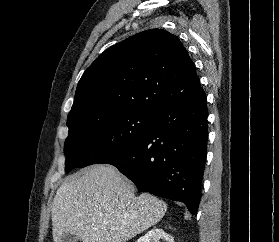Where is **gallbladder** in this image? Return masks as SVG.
I'll use <instances>...</instances> for the list:
<instances>
[{"label":"gallbladder","instance_id":"bac80fb5","mask_svg":"<svg viewBox=\"0 0 279 242\" xmlns=\"http://www.w3.org/2000/svg\"><path fill=\"white\" fill-rule=\"evenodd\" d=\"M62 239V242H80V239H78L75 235L72 234H66L65 236H63Z\"/></svg>","mask_w":279,"mask_h":242}]
</instances>
